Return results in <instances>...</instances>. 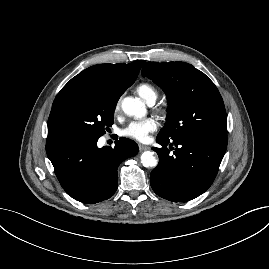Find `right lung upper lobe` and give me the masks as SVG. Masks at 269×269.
Returning <instances> with one entry per match:
<instances>
[{"instance_id": "right-lung-upper-lobe-1", "label": "right lung upper lobe", "mask_w": 269, "mask_h": 269, "mask_svg": "<svg viewBox=\"0 0 269 269\" xmlns=\"http://www.w3.org/2000/svg\"><path fill=\"white\" fill-rule=\"evenodd\" d=\"M144 63V60H139L130 64L94 65L72 78L61 91L74 87L89 89L103 88L120 97V95L134 83ZM59 139L62 138L56 135L51 126L48 125L47 143Z\"/></svg>"}]
</instances>
